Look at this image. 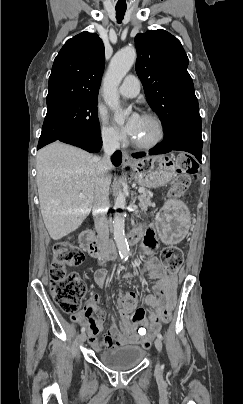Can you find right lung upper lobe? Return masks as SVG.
I'll use <instances>...</instances> for the list:
<instances>
[{
    "label": "right lung upper lobe",
    "instance_id": "cb5924a9",
    "mask_svg": "<svg viewBox=\"0 0 243 404\" xmlns=\"http://www.w3.org/2000/svg\"><path fill=\"white\" fill-rule=\"evenodd\" d=\"M104 65V45L96 33L82 32L69 39L54 60L47 105L97 98Z\"/></svg>",
    "mask_w": 243,
    "mask_h": 404
}]
</instances>
